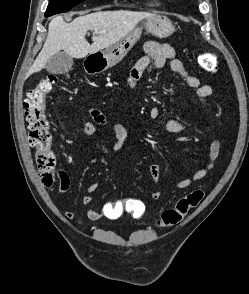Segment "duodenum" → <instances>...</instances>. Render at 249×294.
<instances>
[{
    "label": "duodenum",
    "mask_w": 249,
    "mask_h": 294,
    "mask_svg": "<svg viewBox=\"0 0 249 294\" xmlns=\"http://www.w3.org/2000/svg\"><path fill=\"white\" fill-rule=\"evenodd\" d=\"M101 69H102V66L99 65V64H93V63H90V62H88V63L86 64V72H87L88 74H95V73L99 72ZM94 111H95V110L92 109V110H91V114H92Z\"/></svg>",
    "instance_id": "1"
}]
</instances>
